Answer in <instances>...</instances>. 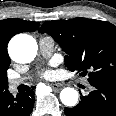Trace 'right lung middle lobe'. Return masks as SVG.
Here are the masks:
<instances>
[{"label":"right lung middle lobe","mask_w":116,"mask_h":116,"mask_svg":"<svg viewBox=\"0 0 116 116\" xmlns=\"http://www.w3.org/2000/svg\"><path fill=\"white\" fill-rule=\"evenodd\" d=\"M8 91L7 72L0 74V97Z\"/></svg>","instance_id":"obj_1"}]
</instances>
